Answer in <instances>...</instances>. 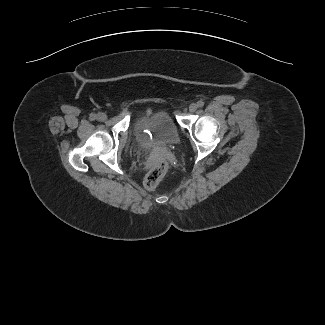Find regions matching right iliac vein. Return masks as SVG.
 Instances as JSON below:
<instances>
[{
    "label": "right iliac vein",
    "mask_w": 325,
    "mask_h": 325,
    "mask_svg": "<svg viewBox=\"0 0 325 325\" xmlns=\"http://www.w3.org/2000/svg\"><path fill=\"white\" fill-rule=\"evenodd\" d=\"M97 119L100 120V121H104L107 119V115L105 113H99L97 115Z\"/></svg>",
    "instance_id": "63e3f726"
}]
</instances>
